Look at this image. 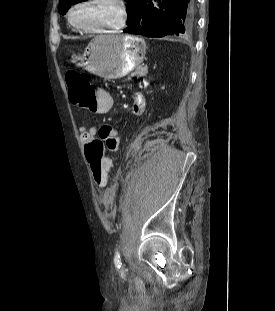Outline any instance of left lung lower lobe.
<instances>
[{
	"instance_id": "left-lung-lower-lobe-1",
	"label": "left lung lower lobe",
	"mask_w": 275,
	"mask_h": 311,
	"mask_svg": "<svg viewBox=\"0 0 275 311\" xmlns=\"http://www.w3.org/2000/svg\"><path fill=\"white\" fill-rule=\"evenodd\" d=\"M195 0H144L124 31L148 37L187 36L194 29Z\"/></svg>"
}]
</instances>
